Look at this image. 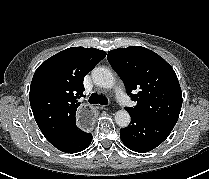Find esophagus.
<instances>
[{
    "label": "esophagus",
    "mask_w": 209,
    "mask_h": 179,
    "mask_svg": "<svg viewBox=\"0 0 209 179\" xmlns=\"http://www.w3.org/2000/svg\"><path fill=\"white\" fill-rule=\"evenodd\" d=\"M104 106H102L103 108ZM96 110L91 105H81L77 110L78 124L84 131H90L95 126Z\"/></svg>",
    "instance_id": "esophagus-1"
}]
</instances>
